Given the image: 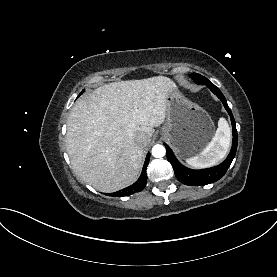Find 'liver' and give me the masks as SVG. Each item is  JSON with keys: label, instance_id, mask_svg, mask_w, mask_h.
I'll return each mask as SVG.
<instances>
[{"label": "liver", "instance_id": "obj_1", "mask_svg": "<svg viewBox=\"0 0 277 277\" xmlns=\"http://www.w3.org/2000/svg\"><path fill=\"white\" fill-rule=\"evenodd\" d=\"M176 89L164 76L105 84L77 100L67 121L72 167L87 184L114 192L138 177L147 146L166 117V99ZM148 137L144 146L136 134Z\"/></svg>", "mask_w": 277, "mask_h": 277}]
</instances>
